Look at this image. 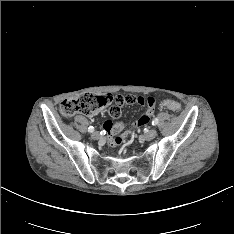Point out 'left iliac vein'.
I'll use <instances>...</instances> for the list:
<instances>
[{
	"instance_id": "left-iliac-vein-1",
	"label": "left iliac vein",
	"mask_w": 234,
	"mask_h": 234,
	"mask_svg": "<svg viewBox=\"0 0 234 234\" xmlns=\"http://www.w3.org/2000/svg\"><path fill=\"white\" fill-rule=\"evenodd\" d=\"M157 136V130L156 129H151L145 134V139L150 141L154 139Z\"/></svg>"
}]
</instances>
